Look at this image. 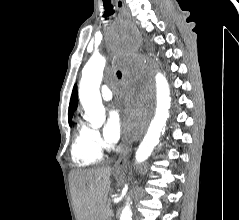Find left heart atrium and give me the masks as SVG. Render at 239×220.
Here are the masks:
<instances>
[{"label": "left heart atrium", "mask_w": 239, "mask_h": 220, "mask_svg": "<svg viewBox=\"0 0 239 220\" xmlns=\"http://www.w3.org/2000/svg\"><path fill=\"white\" fill-rule=\"evenodd\" d=\"M118 101L123 106V113L128 116L125 124L126 129L130 131L134 127L141 126V118L137 113H133L130 108L129 98L125 95V93H120L118 95ZM123 126L124 124H122L119 110L116 107H113L109 112V117L103 129L105 140L109 143L118 142L122 134Z\"/></svg>", "instance_id": "1"}]
</instances>
